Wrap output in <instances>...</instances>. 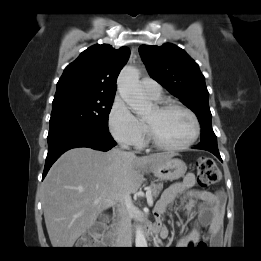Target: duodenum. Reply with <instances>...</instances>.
I'll use <instances>...</instances> for the list:
<instances>
[{
	"label": "duodenum",
	"instance_id": "obj_1",
	"mask_svg": "<svg viewBox=\"0 0 261 261\" xmlns=\"http://www.w3.org/2000/svg\"><path fill=\"white\" fill-rule=\"evenodd\" d=\"M159 231L160 229L158 227H148L145 229V234L147 238H153L158 234ZM103 235H104L103 242L106 246H111V247L120 246L119 242L121 240V237L119 236L118 227L116 224H113L110 227L109 231L107 232L103 231Z\"/></svg>",
	"mask_w": 261,
	"mask_h": 261
}]
</instances>
